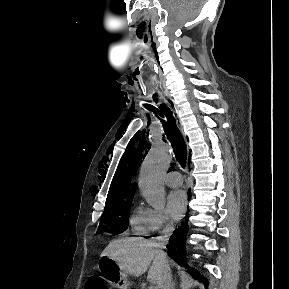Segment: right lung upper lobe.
I'll list each match as a JSON object with an SVG mask.
<instances>
[{
	"mask_svg": "<svg viewBox=\"0 0 289 289\" xmlns=\"http://www.w3.org/2000/svg\"><path fill=\"white\" fill-rule=\"evenodd\" d=\"M136 154V153H135ZM125 157V155H124ZM133 158V157H131ZM127 161L126 160V165H127ZM131 161V159H130ZM125 165V167H126ZM130 165V162H129ZM124 167V169H125ZM123 169V171H124ZM128 172V168L126 169V172L124 173V175H122L120 178H118L117 184L116 186H113V188L110 189L108 196H107V200L106 203H115V202H123L125 200L131 199L133 198V193L136 189V185H132L131 186V172Z\"/></svg>",
	"mask_w": 289,
	"mask_h": 289,
	"instance_id": "1",
	"label": "right lung upper lobe"
}]
</instances>
